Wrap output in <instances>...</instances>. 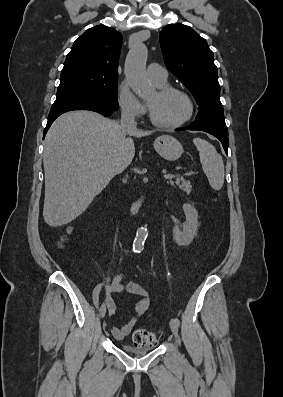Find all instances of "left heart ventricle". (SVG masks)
I'll use <instances>...</instances> for the list:
<instances>
[{"mask_svg":"<svg viewBox=\"0 0 283 397\" xmlns=\"http://www.w3.org/2000/svg\"><path fill=\"white\" fill-rule=\"evenodd\" d=\"M148 103L152 106L156 118L164 123L180 121L189 112L186 98L175 92L164 97H159L155 92L149 97Z\"/></svg>","mask_w":283,"mask_h":397,"instance_id":"b2bd125f","label":"left heart ventricle"}]
</instances>
